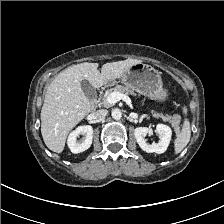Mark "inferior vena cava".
<instances>
[{
    "instance_id": "1",
    "label": "inferior vena cava",
    "mask_w": 224,
    "mask_h": 224,
    "mask_svg": "<svg viewBox=\"0 0 224 224\" xmlns=\"http://www.w3.org/2000/svg\"><path fill=\"white\" fill-rule=\"evenodd\" d=\"M108 114V111L106 109H99L97 111L94 112V118L101 120L103 118H105Z\"/></svg>"
}]
</instances>
